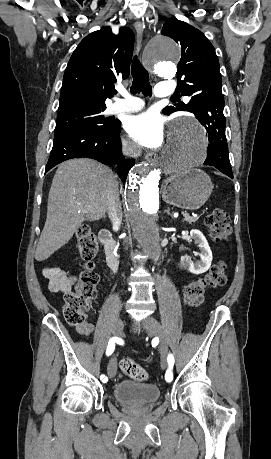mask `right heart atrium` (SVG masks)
<instances>
[{
  "label": "right heart atrium",
  "mask_w": 271,
  "mask_h": 459,
  "mask_svg": "<svg viewBox=\"0 0 271 459\" xmlns=\"http://www.w3.org/2000/svg\"><path fill=\"white\" fill-rule=\"evenodd\" d=\"M121 148L123 153L129 158H135L138 156V148L125 136L120 140Z\"/></svg>",
  "instance_id": "obj_1"
}]
</instances>
